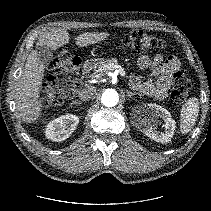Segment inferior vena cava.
<instances>
[{"label": "inferior vena cava", "mask_w": 211, "mask_h": 211, "mask_svg": "<svg viewBox=\"0 0 211 211\" xmlns=\"http://www.w3.org/2000/svg\"><path fill=\"white\" fill-rule=\"evenodd\" d=\"M96 92V88L94 86H86L78 93V97L80 100L86 101L90 100Z\"/></svg>", "instance_id": "obj_1"}]
</instances>
